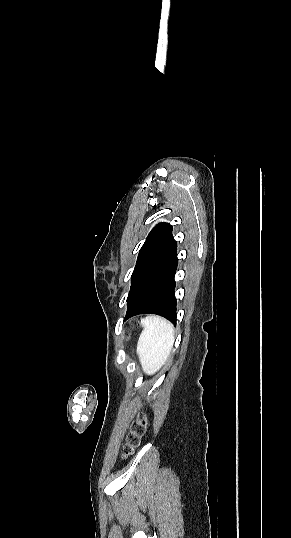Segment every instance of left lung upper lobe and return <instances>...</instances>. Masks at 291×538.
<instances>
[{
    "label": "left lung upper lobe",
    "mask_w": 291,
    "mask_h": 538,
    "mask_svg": "<svg viewBox=\"0 0 291 538\" xmlns=\"http://www.w3.org/2000/svg\"><path fill=\"white\" fill-rule=\"evenodd\" d=\"M174 242L175 240L172 236V226L170 224L160 223L152 229L139 252L137 263L131 276V288L129 295L144 271Z\"/></svg>",
    "instance_id": "1"
}]
</instances>
